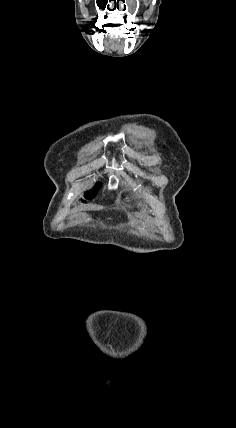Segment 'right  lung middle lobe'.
<instances>
[{"mask_svg": "<svg viewBox=\"0 0 236 428\" xmlns=\"http://www.w3.org/2000/svg\"><path fill=\"white\" fill-rule=\"evenodd\" d=\"M99 186H100V184L97 185V187H99ZM94 196H95V191H88V192L85 193V197L87 199H91ZM82 202L86 203V201H84V200Z\"/></svg>", "mask_w": 236, "mask_h": 428, "instance_id": "dd1d6c3e", "label": "right lung middle lobe"}]
</instances>
